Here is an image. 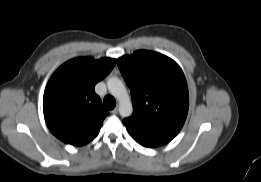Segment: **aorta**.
<instances>
[{
    "label": "aorta",
    "instance_id": "obj_1",
    "mask_svg": "<svg viewBox=\"0 0 261 182\" xmlns=\"http://www.w3.org/2000/svg\"><path fill=\"white\" fill-rule=\"evenodd\" d=\"M109 92L119 101V113L122 117H129L133 112L131 99L128 95L125 85L117 77H111L107 80Z\"/></svg>",
    "mask_w": 261,
    "mask_h": 182
}]
</instances>
